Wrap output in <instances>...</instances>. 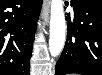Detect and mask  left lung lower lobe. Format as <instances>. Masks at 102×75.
<instances>
[{
  "mask_svg": "<svg viewBox=\"0 0 102 75\" xmlns=\"http://www.w3.org/2000/svg\"><path fill=\"white\" fill-rule=\"evenodd\" d=\"M74 22L67 16L68 33L55 75H102V2L73 0Z\"/></svg>",
  "mask_w": 102,
  "mask_h": 75,
  "instance_id": "obj_1",
  "label": "left lung lower lobe"
}]
</instances>
